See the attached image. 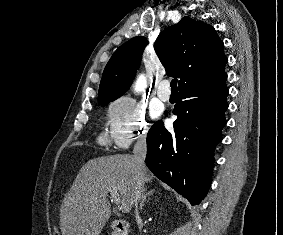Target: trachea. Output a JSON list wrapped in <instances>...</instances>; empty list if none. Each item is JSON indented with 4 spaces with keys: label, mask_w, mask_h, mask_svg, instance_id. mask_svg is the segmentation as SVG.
Listing matches in <instances>:
<instances>
[{
    "label": "trachea",
    "mask_w": 283,
    "mask_h": 235,
    "mask_svg": "<svg viewBox=\"0 0 283 235\" xmlns=\"http://www.w3.org/2000/svg\"><path fill=\"white\" fill-rule=\"evenodd\" d=\"M170 86H171V90H177V79H173L171 81Z\"/></svg>",
    "instance_id": "1"
}]
</instances>
